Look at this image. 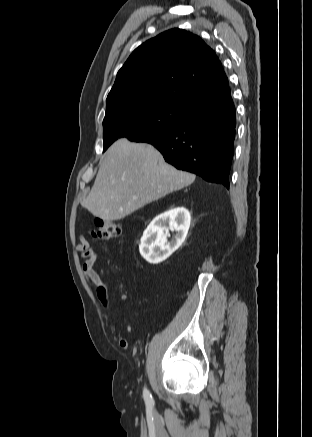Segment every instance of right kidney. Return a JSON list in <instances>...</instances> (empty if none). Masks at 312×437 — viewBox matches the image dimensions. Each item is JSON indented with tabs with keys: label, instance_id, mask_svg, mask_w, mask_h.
Masks as SVG:
<instances>
[{
	"label": "right kidney",
	"instance_id": "ca27d5eb",
	"mask_svg": "<svg viewBox=\"0 0 312 437\" xmlns=\"http://www.w3.org/2000/svg\"><path fill=\"white\" fill-rule=\"evenodd\" d=\"M191 222L187 209L178 207L157 216L144 231L139 245L142 257L152 264L166 260L185 241ZM169 230L176 234L168 241Z\"/></svg>",
	"mask_w": 312,
	"mask_h": 437
}]
</instances>
